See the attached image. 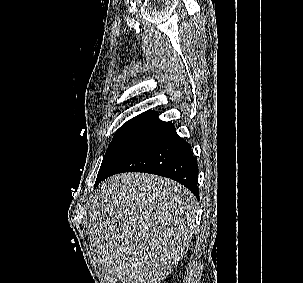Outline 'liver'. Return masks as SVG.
<instances>
[{
  "instance_id": "6515ba94",
  "label": "liver",
  "mask_w": 303,
  "mask_h": 283,
  "mask_svg": "<svg viewBox=\"0 0 303 283\" xmlns=\"http://www.w3.org/2000/svg\"><path fill=\"white\" fill-rule=\"evenodd\" d=\"M91 211L90 234L106 272L122 283H160L189 248L196 199L173 180L123 173L102 183Z\"/></svg>"
}]
</instances>
